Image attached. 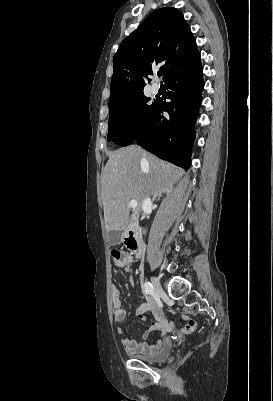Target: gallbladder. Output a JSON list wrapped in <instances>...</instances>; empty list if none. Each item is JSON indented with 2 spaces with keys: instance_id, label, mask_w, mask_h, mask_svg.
Segmentation results:
<instances>
[{
  "instance_id": "bac80fb5",
  "label": "gallbladder",
  "mask_w": 273,
  "mask_h": 401,
  "mask_svg": "<svg viewBox=\"0 0 273 401\" xmlns=\"http://www.w3.org/2000/svg\"><path fill=\"white\" fill-rule=\"evenodd\" d=\"M107 233H108V239L110 243H114V245H117V243H120L121 241V233L118 227H108L107 228Z\"/></svg>"
}]
</instances>
